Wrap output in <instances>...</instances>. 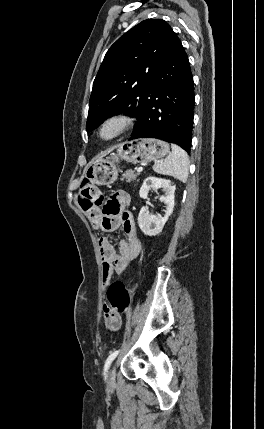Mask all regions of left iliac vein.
Instances as JSON below:
<instances>
[{
  "label": "left iliac vein",
  "mask_w": 264,
  "mask_h": 429,
  "mask_svg": "<svg viewBox=\"0 0 264 429\" xmlns=\"http://www.w3.org/2000/svg\"><path fill=\"white\" fill-rule=\"evenodd\" d=\"M115 378H116V366L114 365L109 373V383L110 385L115 384Z\"/></svg>",
  "instance_id": "4c4485c4"
}]
</instances>
